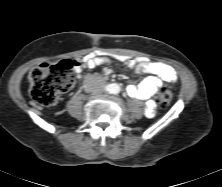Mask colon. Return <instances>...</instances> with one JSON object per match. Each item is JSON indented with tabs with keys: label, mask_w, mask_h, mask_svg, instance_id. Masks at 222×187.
<instances>
[{
	"label": "colon",
	"mask_w": 222,
	"mask_h": 187,
	"mask_svg": "<svg viewBox=\"0 0 222 187\" xmlns=\"http://www.w3.org/2000/svg\"><path fill=\"white\" fill-rule=\"evenodd\" d=\"M76 64L64 60L57 64L42 63L29 73L30 95L41 106H51L58 96L67 92L74 83ZM173 99L171 91L162 88L157 95V105L167 107Z\"/></svg>",
	"instance_id": "obj_1"
}]
</instances>
